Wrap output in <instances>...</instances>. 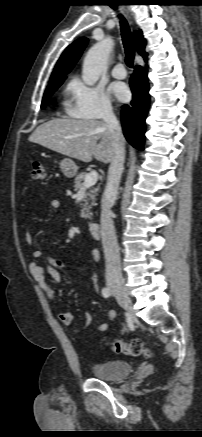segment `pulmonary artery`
<instances>
[{"label":"pulmonary artery","mask_w":202,"mask_h":437,"mask_svg":"<svg viewBox=\"0 0 202 437\" xmlns=\"http://www.w3.org/2000/svg\"><path fill=\"white\" fill-rule=\"evenodd\" d=\"M111 73H112V76L116 79H124L127 75L125 67L122 63L116 64L113 67Z\"/></svg>","instance_id":"pulmonary-artery-1"}]
</instances>
